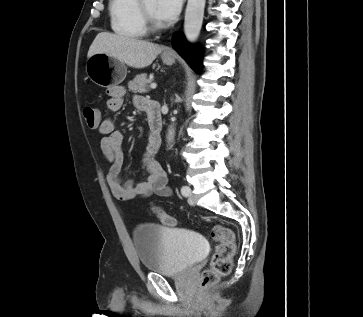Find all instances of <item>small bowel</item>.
<instances>
[{"instance_id":"1","label":"small bowel","mask_w":363,"mask_h":317,"mask_svg":"<svg viewBox=\"0 0 363 317\" xmlns=\"http://www.w3.org/2000/svg\"><path fill=\"white\" fill-rule=\"evenodd\" d=\"M125 89L121 86L113 87L109 90L107 107L112 112L119 111L123 106ZM147 102L143 97H136L134 104L141 110H146ZM102 138L100 140L101 152L110 165L106 179L112 194L120 201H129L136 198H145L153 194L161 197H169L172 193L168 186L166 172L155 160L156 147L148 145L142 159V169L144 177L138 181L132 178H124L121 174L123 161L122 147L124 135L116 130L113 119L106 118L101 121L98 128Z\"/></svg>"}]
</instances>
